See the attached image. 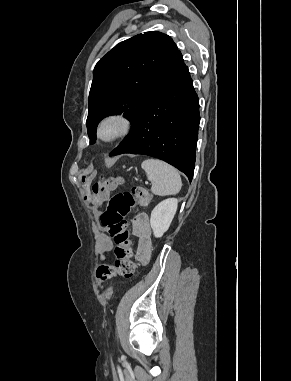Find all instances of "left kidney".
Returning <instances> with one entry per match:
<instances>
[{
    "mask_svg": "<svg viewBox=\"0 0 291 381\" xmlns=\"http://www.w3.org/2000/svg\"><path fill=\"white\" fill-rule=\"evenodd\" d=\"M178 200L168 198L161 201L151 212L150 225L156 238H160L169 229L177 211Z\"/></svg>",
    "mask_w": 291,
    "mask_h": 381,
    "instance_id": "5707ae66",
    "label": "left kidney"
}]
</instances>
